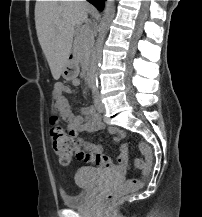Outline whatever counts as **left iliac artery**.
I'll return each instance as SVG.
<instances>
[{"mask_svg":"<svg viewBox=\"0 0 202 217\" xmlns=\"http://www.w3.org/2000/svg\"><path fill=\"white\" fill-rule=\"evenodd\" d=\"M91 88H92V92L93 94H96L98 91V83L97 82H93L92 85H91Z\"/></svg>","mask_w":202,"mask_h":217,"instance_id":"obj_1","label":"left iliac artery"}]
</instances>
